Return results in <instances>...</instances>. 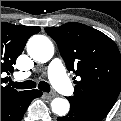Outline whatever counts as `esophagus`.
I'll list each match as a JSON object with an SVG mask.
<instances>
[{
	"instance_id": "esophagus-1",
	"label": "esophagus",
	"mask_w": 121,
	"mask_h": 121,
	"mask_svg": "<svg viewBox=\"0 0 121 121\" xmlns=\"http://www.w3.org/2000/svg\"><path fill=\"white\" fill-rule=\"evenodd\" d=\"M44 95L47 99H51V98L55 97V94H53V93H44Z\"/></svg>"
}]
</instances>
